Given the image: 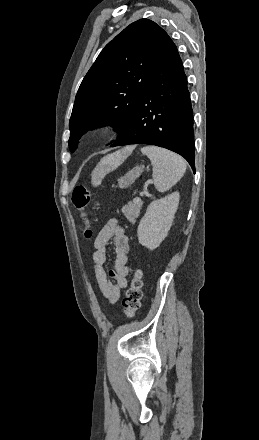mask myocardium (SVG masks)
<instances>
[{"mask_svg": "<svg viewBox=\"0 0 259 440\" xmlns=\"http://www.w3.org/2000/svg\"><path fill=\"white\" fill-rule=\"evenodd\" d=\"M107 128L104 125H98L93 129V135L96 137L102 136L106 133Z\"/></svg>", "mask_w": 259, "mask_h": 440, "instance_id": "1", "label": "myocardium"}]
</instances>
